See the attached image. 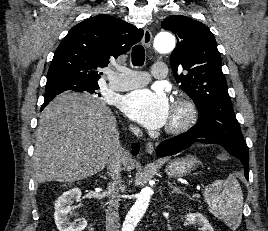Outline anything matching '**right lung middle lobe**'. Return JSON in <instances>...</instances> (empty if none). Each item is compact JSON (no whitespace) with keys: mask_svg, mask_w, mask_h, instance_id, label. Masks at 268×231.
I'll return each instance as SVG.
<instances>
[{"mask_svg":"<svg viewBox=\"0 0 268 231\" xmlns=\"http://www.w3.org/2000/svg\"><path fill=\"white\" fill-rule=\"evenodd\" d=\"M99 89L98 85H82L69 82H61L46 86L45 88V98L53 99L56 95L63 92H85V93H96Z\"/></svg>","mask_w":268,"mask_h":231,"instance_id":"obj_1","label":"right lung middle lobe"}]
</instances>
